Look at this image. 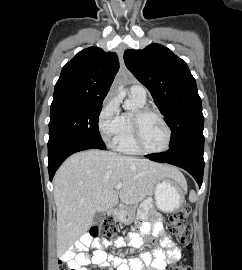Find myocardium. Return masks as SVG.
<instances>
[{
	"label": "myocardium",
	"mask_w": 242,
	"mask_h": 270,
	"mask_svg": "<svg viewBox=\"0 0 242 270\" xmlns=\"http://www.w3.org/2000/svg\"><path fill=\"white\" fill-rule=\"evenodd\" d=\"M149 116H156L164 125L167 133L166 144L158 150L148 149L142 140L143 121ZM133 140L137 149L145 154H161L170 149L172 143V130L165 117L157 110L149 108H140L132 115Z\"/></svg>",
	"instance_id": "myocardium-1"
}]
</instances>
